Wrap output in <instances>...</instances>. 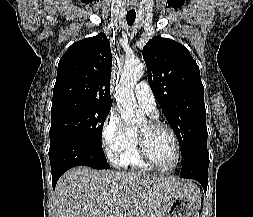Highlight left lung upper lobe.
I'll return each instance as SVG.
<instances>
[{"label": "left lung upper lobe", "mask_w": 253, "mask_h": 217, "mask_svg": "<svg viewBox=\"0 0 253 217\" xmlns=\"http://www.w3.org/2000/svg\"><path fill=\"white\" fill-rule=\"evenodd\" d=\"M150 87L174 130L183 160L207 146L204 87L199 67L182 44L155 36L142 51Z\"/></svg>", "instance_id": "5c2ea615"}]
</instances>
